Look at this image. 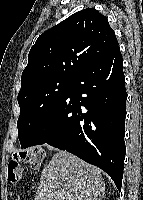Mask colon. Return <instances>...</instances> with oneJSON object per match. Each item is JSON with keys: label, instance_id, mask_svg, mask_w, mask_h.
Masks as SVG:
<instances>
[{"label": "colon", "instance_id": "obj_1", "mask_svg": "<svg viewBox=\"0 0 143 200\" xmlns=\"http://www.w3.org/2000/svg\"><path fill=\"white\" fill-rule=\"evenodd\" d=\"M44 159V151L39 147H31L13 154L7 165V179L10 183H18L23 177V164L31 169H39Z\"/></svg>", "mask_w": 143, "mask_h": 200}]
</instances>
